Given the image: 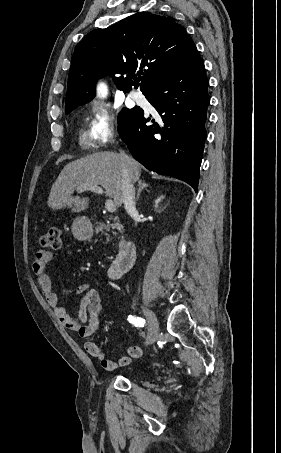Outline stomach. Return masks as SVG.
<instances>
[{
	"label": "stomach",
	"instance_id": "obj_1",
	"mask_svg": "<svg viewBox=\"0 0 281 453\" xmlns=\"http://www.w3.org/2000/svg\"><path fill=\"white\" fill-rule=\"evenodd\" d=\"M72 233L75 239H80V241L90 239L93 235V229L89 218H87V216H79V218H75L72 224Z\"/></svg>",
	"mask_w": 281,
	"mask_h": 453
}]
</instances>
